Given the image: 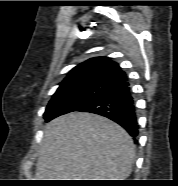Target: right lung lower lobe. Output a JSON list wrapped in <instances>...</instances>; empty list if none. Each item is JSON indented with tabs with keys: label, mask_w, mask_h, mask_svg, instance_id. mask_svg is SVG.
Masks as SVG:
<instances>
[{
	"label": "right lung lower lobe",
	"mask_w": 178,
	"mask_h": 186,
	"mask_svg": "<svg viewBox=\"0 0 178 186\" xmlns=\"http://www.w3.org/2000/svg\"><path fill=\"white\" fill-rule=\"evenodd\" d=\"M76 111L107 117L121 125L133 138L138 135L136 107L127 78L114 83Z\"/></svg>",
	"instance_id": "98d812e1"
}]
</instances>
